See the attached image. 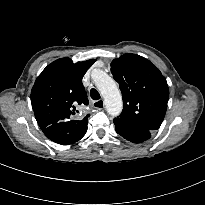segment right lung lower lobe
Returning a JSON list of instances; mask_svg holds the SVG:
<instances>
[{
  "label": "right lung lower lobe",
  "instance_id": "obj_1",
  "mask_svg": "<svg viewBox=\"0 0 205 205\" xmlns=\"http://www.w3.org/2000/svg\"><path fill=\"white\" fill-rule=\"evenodd\" d=\"M44 134L52 141L62 144V145H68L72 144L71 142H68L67 139L62 138V136H58L56 134V131H58V128L56 126H49L42 130Z\"/></svg>",
  "mask_w": 205,
  "mask_h": 205
}]
</instances>
